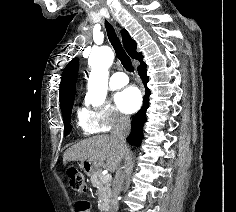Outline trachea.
Segmentation results:
<instances>
[{
    "instance_id": "obj_1",
    "label": "trachea",
    "mask_w": 236,
    "mask_h": 212,
    "mask_svg": "<svg viewBox=\"0 0 236 212\" xmlns=\"http://www.w3.org/2000/svg\"><path fill=\"white\" fill-rule=\"evenodd\" d=\"M105 28L107 31L108 39L113 46L115 53L117 55V58L120 60L121 64L123 67L128 71V72H134V67L132 65L130 57L127 55L125 52L116 32L113 26L105 21Z\"/></svg>"
}]
</instances>
